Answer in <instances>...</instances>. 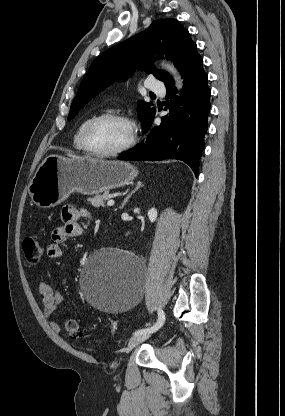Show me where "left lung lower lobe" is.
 Here are the masks:
<instances>
[{
	"label": "left lung lower lobe",
	"mask_w": 285,
	"mask_h": 416,
	"mask_svg": "<svg viewBox=\"0 0 285 416\" xmlns=\"http://www.w3.org/2000/svg\"><path fill=\"white\" fill-rule=\"evenodd\" d=\"M184 88L181 97L174 82L166 84V99H169V115L161 118L159 126L152 127L153 119L143 127L147 138L133 149L118 156L120 160L159 161L179 159L188 164L198 175L199 159L204 148L207 117L210 111L211 91L208 76L203 70L201 56L194 59L183 70ZM154 118V117H153Z\"/></svg>",
	"instance_id": "obj_1"
}]
</instances>
